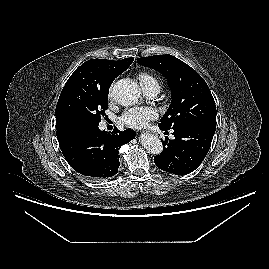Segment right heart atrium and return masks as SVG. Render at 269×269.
Here are the masks:
<instances>
[{"label":"right heart atrium","mask_w":269,"mask_h":269,"mask_svg":"<svg viewBox=\"0 0 269 269\" xmlns=\"http://www.w3.org/2000/svg\"><path fill=\"white\" fill-rule=\"evenodd\" d=\"M109 97H112V88H110Z\"/></svg>","instance_id":"d8ad5b80"}]
</instances>
